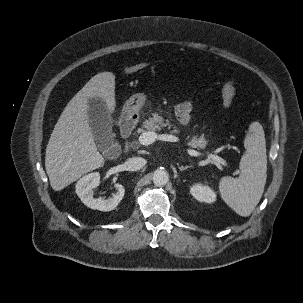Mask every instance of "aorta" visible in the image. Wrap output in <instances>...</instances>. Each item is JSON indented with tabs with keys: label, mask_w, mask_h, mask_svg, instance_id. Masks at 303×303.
<instances>
[{
	"label": "aorta",
	"mask_w": 303,
	"mask_h": 303,
	"mask_svg": "<svg viewBox=\"0 0 303 303\" xmlns=\"http://www.w3.org/2000/svg\"><path fill=\"white\" fill-rule=\"evenodd\" d=\"M169 181L168 173L163 169H157L153 173V183L158 186H164Z\"/></svg>",
	"instance_id": "1"
}]
</instances>
